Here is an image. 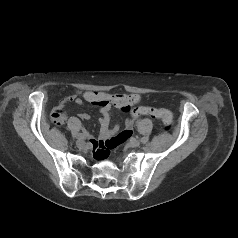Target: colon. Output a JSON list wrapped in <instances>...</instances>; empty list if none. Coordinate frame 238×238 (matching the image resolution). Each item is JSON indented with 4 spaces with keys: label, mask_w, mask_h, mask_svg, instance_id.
<instances>
[{
    "label": "colon",
    "mask_w": 238,
    "mask_h": 238,
    "mask_svg": "<svg viewBox=\"0 0 238 238\" xmlns=\"http://www.w3.org/2000/svg\"><path fill=\"white\" fill-rule=\"evenodd\" d=\"M132 115L134 117L139 116H150L152 118H160L163 120V122L166 125V129L170 128L171 123V115L169 112L163 110V109H156L152 107H137L132 110ZM60 115V112L57 111L53 117L58 118ZM130 131L125 130L119 134H116L112 137L106 138L104 140H100L94 143V156L96 159L102 160L108 157L110 152L118 147L120 144H122L128 137H129Z\"/></svg>",
    "instance_id": "colon-1"
}]
</instances>
